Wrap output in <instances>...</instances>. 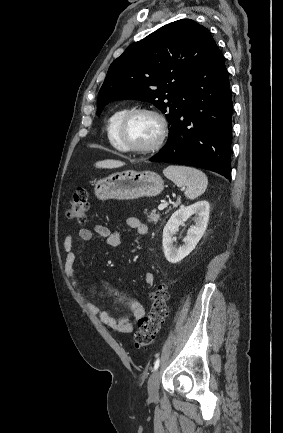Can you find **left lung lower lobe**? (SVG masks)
<instances>
[{"label": "left lung lower lobe", "instance_id": "left-lung-lower-lobe-1", "mask_svg": "<svg viewBox=\"0 0 283 433\" xmlns=\"http://www.w3.org/2000/svg\"><path fill=\"white\" fill-rule=\"evenodd\" d=\"M189 105L171 123L166 145L149 160L208 169L231 180L232 100L215 45L188 88Z\"/></svg>", "mask_w": 283, "mask_h": 433}]
</instances>
